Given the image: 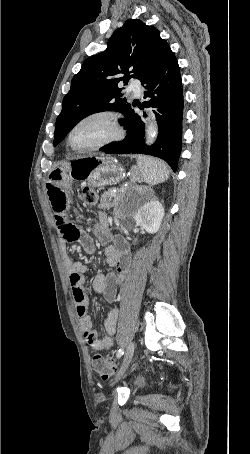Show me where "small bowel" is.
Masks as SVG:
<instances>
[{"mask_svg":"<svg viewBox=\"0 0 250 454\" xmlns=\"http://www.w3.org/2000/svg\"><path fill=\"white\" fill-rule=\"evenodd\" d=\"M77 184L72 176L60 172L50 175L47 183V195L54 211L55 220L59 232L65 242H79L83 250L92 254L95 251V242L84 231L79 230L70 220L68 215ZM95 235L101 242L111 240L105 248L106 262L115 269V272L99 273L93 280V289L102 295L109 304L117 301L119 286L124 280L128 270L129 250L126 243L119 237L110 238L106 221L103 217L95 227ZM65 264L69 275V283L83 331L85 341L92 349L107 351L114 345V335L118 322L119 312L111 307L105 320L106 336L100 338L92 328L91 319L87 313L88 298L84 289L85 277L89 273L86 265L65 258Z\"/></svg>","mask_w":250,"mask_h":454,"instance_id":"obj_1","label":"small bowel"}]
</instances>
